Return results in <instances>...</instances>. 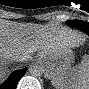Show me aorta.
<instances>
[{
  "instance_id": "aorta-1",
  "label": "aorta",
  "mask_w": 89,
  "mask_h": 89,
  "mask_svg": "<svg viewBox=\"0 0 89 89\" xmlns=\"http://www.w3.org/2000/svg\"><path fill=\"white\" fill-rule=\"evenodd\" d=\"M29 72L32 76H41L44 73V68L38 63H34L29 67Z\"/></svg>"
}]
</instances>
